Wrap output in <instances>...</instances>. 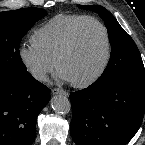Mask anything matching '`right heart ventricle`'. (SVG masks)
<instances>
[{
    "mask_svg": "<svg viewBox=\"0 0 145 145\" xmlns=\"http://www.w3.org/2000/svg\"><path fill=\"white\" fill-rule=\"evenodd\" d=\"M82 17L84 16L76 14H58L35 30L31 36V41L49 59L56 62L72 27Z\"/></svg>",
    "mask_w": 145,
    "mask_h": 145,
    "instance_id": "e07e8e85",
    "label": "right heart ventricle"
}]
</instances>
